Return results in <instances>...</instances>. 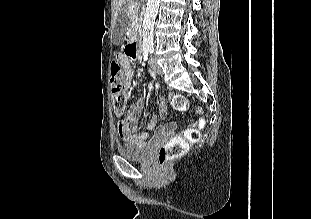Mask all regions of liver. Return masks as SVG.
Returning a JSON list of instances; mask_svg holds the SVG:
<instances>
[{"label": "liver", "instance_id": "obj_1", "mask_svg": "<svg viewBox=\"0 0 311 219\" xmlns=\"http://www.w3.org/2000/svg\"><path fill=\"white\" fill-rule=\"evenodd\" d=\"M129 1L130 0H112L114 23L118 18V14L121 12L122 6Z\"/></svg>", "mask_w": 311, "mask_h": 219}]
</instances>
